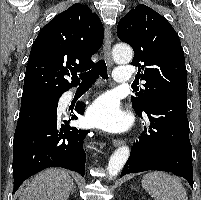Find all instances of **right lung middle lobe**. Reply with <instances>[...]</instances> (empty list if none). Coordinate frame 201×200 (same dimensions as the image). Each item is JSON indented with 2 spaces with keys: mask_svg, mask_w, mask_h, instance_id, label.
Here are the masks:
<instances>
[{
  "mask_svg": "<svg viewBox=\"0 0 201 200\" xmlns=\"http://www.w3.org/2000/svg\"><path fill=\"white\" fill-rule=\"evenodd\" d=\"M49 97H57V96H41V97H32V98H21V105L22 104H26L32 101H36V100H40V99H44V98H49Z\"/></svg>",
  "mask_w": 201,
  "mask_h": 200,
  "instance_id": "1",
  "label": "right lung middle lobe"
}]
</instances>
